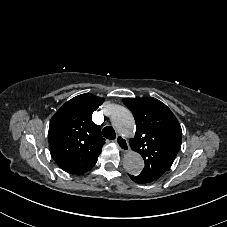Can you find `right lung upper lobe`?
<instances>
[{
    "mask_svg": "<svg viewBox=\"0 0 227 227\" xmlns=\"http://www.w3.org/2000/svg\"><path fill=\"white\" fill-rule=\"evenodd\" d=\"M104 98L86 93L66 102L49 125V149L57 165L71 174H84L97 162L105 139L92 113Z\"/></svg>",
    "mask_w": 227,
    "mask_h": 227,
    "instance_id": "right-lung-upper-lobe-1",
    "label": "right lung upper lobe"
}]
</instances>
